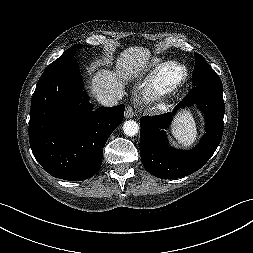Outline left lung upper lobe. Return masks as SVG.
<instances>
[{"label": "left lung upper lobe", "instance_id": "5c2ea615", "mask_svg": "<svg viewBox=\"0 0 253 253\" xmlns=\"http://www.w3.org/2000/svg\"><path fill=\"white\" fill-rule=\"evenodd\" d=\"M195 68L192 75V83L194 86L199 84H212L222 87V83L217 73L208 65L203 56L195 53Z\"/></svg>", "mask_w": 253, "mask_h": 253}]
</instances>
